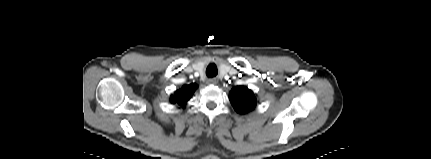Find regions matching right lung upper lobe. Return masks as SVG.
Segmentation results:
<instances>
[{
  "label": "right lung upper lobe",
  "instance_id": "obj_1",
  "mask_svg": "<svg viewBox=\"0 0 431 159\" xmlns=\"http://www.w3.org/2000/svg\"><path fill=\"white\" fill-rule=\"evenodd\" d=\"M197 88L196 84L185 85L182 89L176 91L173 96H171V102L177 103L178 105H185L187 100L193 94L195 89Z\"/></svg>",
  "mask_w": 431,
  "mask_h": 159
}]
</instances>
